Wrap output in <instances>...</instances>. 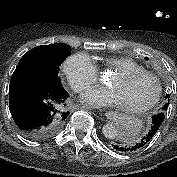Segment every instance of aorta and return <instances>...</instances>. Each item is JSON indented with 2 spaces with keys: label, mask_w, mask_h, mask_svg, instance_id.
I'll use <instances>...</instances> for the list:
<instances>
[{
  "label": "aorta",
  "mask_w": 177,
  "mask_h": 177,
  "mask_svg": "<svg viewBox=\"0 0 177 177\" xmlns=\"http://www.w3.org/2000/svg\"><path fill=\"white\" fill-rule=\"evenodd\" d=\"M102 132L103 135L107 138V139H115L118 135V128L117 126H115L112 123H107L103 126L102 128Z\"/></svg>",
  "instance_id": "762f6f07"
}]
</instances>
